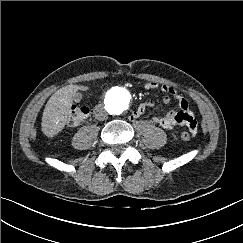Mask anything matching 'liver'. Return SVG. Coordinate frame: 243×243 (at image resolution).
<instances>
[{"mask_svg": "<svg viewBox=\"0 0 243 243\" xmlns=\"http://www.w3.org/2000/svg\"><path fill=\"white\" fill-rule=\"evenodd\" d=\"M80 89L78 85H68L57 90L48 100L42 116V131L47 137L57 135L65 127L71 111L73 97Z\"/></svg>", "mask_w": 243, "mask_h": 243, "instance_id": "liver-1", "label": "liver"}]
</instances>
